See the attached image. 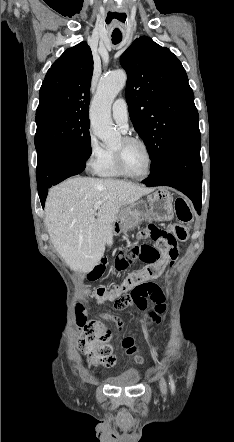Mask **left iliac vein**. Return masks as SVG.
Segmentation results:
<instances>
[{"label":"left iliac vein","instance_id":"left-iliac-vein-1","mask_svg":"<svg viewBox=\"0 0 234 442\" xmlns=\"http://www.w3.org/2000/svg\"><path fill=\"white\" fill-rule=\"evenodd\" d=\"M160 389L163 394H165L167 391V384H166L165 379L162 376L160 377Z\"/></svg>","mask_w":234,"mask_h":442}]
</instances>
